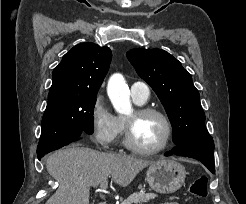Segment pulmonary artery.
I'll use <instances>...</instances> for the list:
<instances>
[{
    "mask_svg": "<svg viewBox=\"0 0 246 204\" xmlns=\"http://www.w3.org/2000/svg\"><path fill=\"white\" fill-rule=\"evenodd\" d=\"M150 95V89L144 82H135L131 86V96L133 100L138 104L145 103Z\"/></svg>",
    "mask_w": 246,
    "mask_h": 204,
    "instance_id": "e3ab8cb5",
    "label": "pulmonary artery"
}]
</instances>
